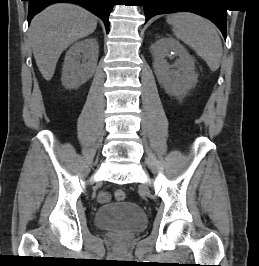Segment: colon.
<instances>
[{
    "label": "colon",
    "instance_id": "colon-1",
    "mask_svg": "<svg viewBox=\"0 0 259 266\" xmlns=\"http://www.w3.org/2000/svg\"><path fill=\"white\" fill-rule=\"evenodd\" d=\"M114 196L117 201H123L126 198V193L124 190L118 189L115 191Z\"/></svg>",
    "mask_w": 259,
    "mask_h": 266
}]
</instances>
